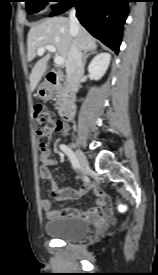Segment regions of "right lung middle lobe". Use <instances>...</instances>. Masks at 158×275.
Masks as SVG:
<instances>
[{
	"instance_id": "right-lung-middle-lobe-1",
	"label": "right lung middle lobe",
	"mask_w": 158,
	"mask_h": 275,
	"mask_svg": "<svg viewBox=\"0 0 158 275\" xmlns=\"http://www.w3.org/2000/svg\"><path fill=\"white\" fill-rule=\"evenodd\" d=\"M27 4L28 13L39 12L50 0H25ZM56 2H63L64 0H55ZM56 6H53L55 8Z\"/></svg>"
}]
</instances>
